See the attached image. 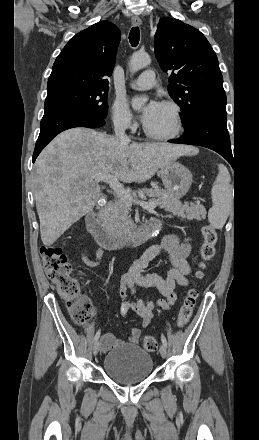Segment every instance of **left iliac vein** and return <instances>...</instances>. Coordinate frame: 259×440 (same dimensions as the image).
Wrapping results in <instances>:
<instances>
[{
	"instance_id": "obj_1",
	"label": "left iliac vein",
	"mask_w": 259,
	"mask_h": 440,
	"mask_svg": "<svg viewBox=\"0 0 259 440\" xmlns=\"http://www.w3.org/2000/svg\"><path fill=\"white\" fill-rule=\"evenodd\" d=\"M159 351H160V355L162 356V358H165L166 354H167V349H166V346L164 344H162L160 346Z\"/></svg>"
}]
</instances>
